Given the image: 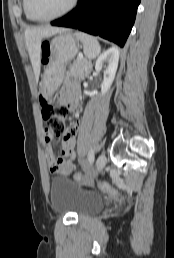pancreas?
<instances>
[{"instance_id": "obj_1", "label": "pancreas", "mask_w": 174, "mask_h": 258, "mask_svg": "<svg viewBox=\"0 0 174 258\" xmlns=\"http://www.w3.org/2000/svg\"><path fill=\"white\" fill-rule=\"evenodd\" d=\"M91 68L92 65L90 62L84 58H78L74 61L73 65L70 66L69 75L79 78L84 77L90 72Z\"/></svg>"}]
</instances>
